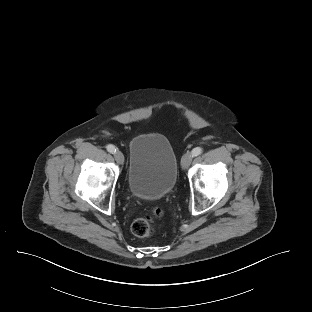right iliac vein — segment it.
Masks as SVG:
<instances>
[{
  "label": "right iliac vein",
  "instance_id": "right-iliac-vein-1",
  "mask_svg": "<svg viewBox=\"0 0 312 312\" xmlns=\"http://www.w3.org/2000/svg\"><path fill=\"white\" fill-rule=\"evenodd\" d=\"M114 158L119 164H122L124 162V155L120 151H116L114 153Z\"/></svg>",
  "mask_w": 312,
  "mask_h": 312
}]
</instances>
